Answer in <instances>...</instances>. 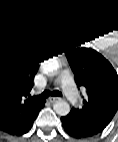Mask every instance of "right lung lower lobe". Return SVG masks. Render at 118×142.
<instances>
[{"mask_svg": "<svg viewBox=\"0 0 118 142\" xmlns=\"http://www.w3.org/2000/svg\"><path fill=\"white\" fill-rule=\"evenodd\" d=\"M42 106H43V104H42ZM41 106V107H42ZM40 107V108H41ZM38 113V112H37ZM37 115V114H36ZM36 115H35V117H36ZM35 117L33 118V120L27 125V126H25L24 128H22L21 130H19V131H17L15 134L17 135V134H24V133H26V132H28V130L32 127V125H33V121H34V119H35Z\"/></svg>", "mask_w": 118, "mask_h": 142, "instance_id": "1", "label": "right lung lower lobe"}]
</instances>
